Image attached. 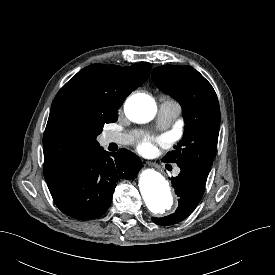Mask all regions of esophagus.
Returning <instances> with one entry per match:
<instances>
[{"mask_svg":"<svg viewBox=\"0 0 275 275\" xmlns=\"http://www.w3.org/2000/svg\"><path fill=\"white\" fill-rule=\"evenodd\" d=\"M149 165H151V166H154L155 164L154 163H148Z\"/></svg>","mask_w":275,"mask_h":275,"instance_id":"1","label":"esophagus"}]
</instances>
